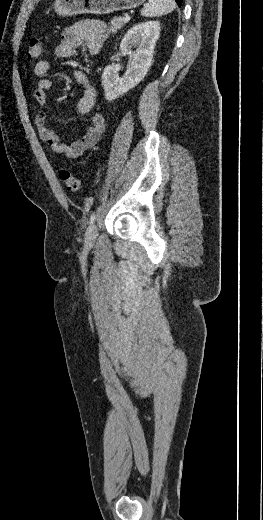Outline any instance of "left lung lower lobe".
<instances>
[{"instance_id": "obj_1", "label": "left lung lower lobe", "mask_w": 263, "mask_h": 520, "mask_svg": "<svg viewBox=\"0 0 263 520\" xmlns=\"http://www.w3.org/2000/svg\"><path fill=\"white\" fill-rule=\"evenodd\" d=\"M177 2V4L179 5V7L181 6L182 4V0H175Z\"/></svg>"}]
</instances>
